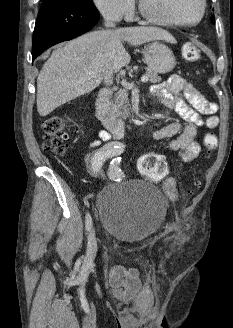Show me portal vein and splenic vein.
Masks as SVG:
<instances>
[{
    "label": "portal vein and splenic vein",
    "instance_id": "1",
    "mask_svg": "<svg viewBox=\"0 0 233 328\" xmlns=\"http://www.w3.org/2000/svg\"><path fill=\"white\" fill-rule=\"evenodd\" d=\"M140 81L141 82H147L148 81V78L146 76H143Z\"/></svg>",
    "mask_w": 233,
    "mask_h": 328
}]
</instances>
